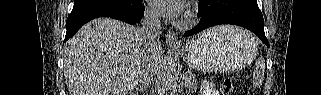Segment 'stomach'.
<instances>
[{
    "label": "stomach",
    "instance_id": "stomach-1",
    "mask_svg": "<svg viewBox=\"0 0 321 95\" xmlns=\"http://www.w3.org/2000/svg\"><path fill=\"white\" fill-rule=\"evenodd\" d=\"M186 63L205 72H233L249 64L258 53L255 39L246 31L229 27L222 32L208 30L181 49Z\"/></svg>",
    "mask_w": 321,
    "mask_h": 95
}]
</instances>
